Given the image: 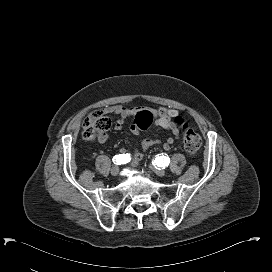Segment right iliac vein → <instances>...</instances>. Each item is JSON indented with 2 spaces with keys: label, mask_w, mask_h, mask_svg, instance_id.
I'll return each mask as SVG.
<instances>
[{
  "label": "right iliac vein",
  "mask_w": 272,
  "mask_h": 272,
  "mask_svg": "<svg viewBox=\"0 0 272 272\" xmlns=\"http://www.w3.org/2000/svg\"><path fill=\"white\" fill-rule=\"evenodd\" d=\"M118 173H119V167L118 166L112 167V169H111V175L114 176V177H116V176H118Z\"/></svg>",
  "instance_id": "right-iliac-vein-1"
}]
</instances>
